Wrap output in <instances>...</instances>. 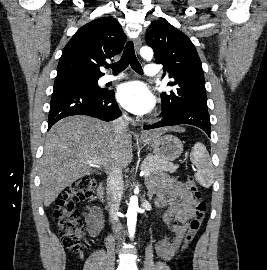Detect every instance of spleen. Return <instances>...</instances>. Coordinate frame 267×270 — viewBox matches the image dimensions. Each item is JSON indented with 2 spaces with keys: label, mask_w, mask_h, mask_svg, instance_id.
Here are the masks:
<instances>
[{
  "label": "spleen",
  "mask_w": 267,
  "mask_h": 270,
  "mask_svg": "<svg viewBox=\"0 0 267 270\" xmlns=\"http://www.w3.org/2000/svg\"><path fill=\"white\" fill-rule=\"evenodd\" d=\"M190 160L196 167L195 179L198 183L209 188L213 183V165L209 153L201 142H197L190 153Z\"/></svg>",
  "instance_id": "obj_1"
}]
</instances>
